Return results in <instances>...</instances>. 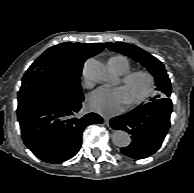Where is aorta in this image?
<instances>
[{
  "label": "aorta",
  "instance_id": "1",
  "mask_svg": "<svg viewBox=\"0 0 194 193\" xmlns=\"http://www.w3.org/2000/svg\"><path fill=\"white\" fill-rule=\"evenodd\" d=\"M84 74L91 80L108 83L113 75L109 69L95 59H88L84 65ZM130 136L126 131L117 130L112 135V142L118 147H126L130 144Z\"/></svg>",
  "mask_w": 194,
  "mask_h": 193
}]
</instances>
